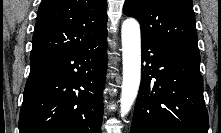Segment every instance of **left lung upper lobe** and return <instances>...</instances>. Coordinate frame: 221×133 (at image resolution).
<instances>
[{
    "label": "left lung upper lobe",
    "instance_id": "obj_1",
    "mask_svg": "<svg viewBox=\"0 0 221 133\" xmlns=\"http://www.w3.org/2000/svg\"><path fill=\"white\" fill-rule=\"evenodd\" d=\"M123 12L141 25V38L199 51L191 0H125Z\"/></svg>",
    "mask_w": 221,
    "mask_h": 133
}]
</instances>
